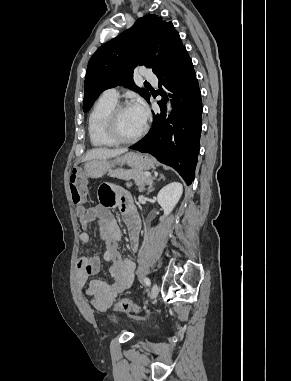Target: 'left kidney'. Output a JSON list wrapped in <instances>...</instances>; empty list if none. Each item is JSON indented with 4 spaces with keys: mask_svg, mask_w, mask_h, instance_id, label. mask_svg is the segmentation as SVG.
I'll use <instances>...</instances> for the list:
<instances>
[{
    "mask_svg": "<svg viewBox=\"0 0 291 381\" xmlns=\"http://www.w3.org/2000/svg\"><path fill=\"white\" fill-rule=\"evenodd\" d=\"M183 193V186L179 182H172L163 187L158 195L157 201L164 211V215L160 217L163 220L174 209Z\"/></svg>",
    "mask_w": 291,
    "mask_h": 381,
    "instance_id": "1",
    "label": "left kidney"
}]
</instances>
